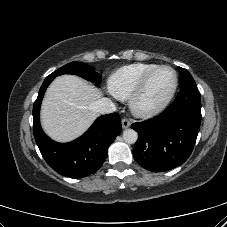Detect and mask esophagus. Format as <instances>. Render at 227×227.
Listing matches in <instances>:
<instances>
[{
  "label": "esophagus",
  "instance_id": "esophagus-1",
  "mask_svg": "<svg viewBox=\"0 0 227 227\" xmlns=\"http://www.w3.org/2000/svg\"><path fill=\"white\" fill-rule=\"evenodd\" d=\"M130 125H131L130 120H128L127 118L122 119V128L126 129V128L130 127Z\"/></svg>",
  "mask_w": 227,
  "mask_h": 227
}]
</instances>
